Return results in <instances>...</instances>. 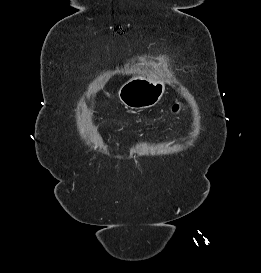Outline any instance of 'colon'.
Segmentation results:
<instances>
[{
    "mask_svg": "<svg viewBox=\"0 0 261 273\" xmlns=\"http://www.w3.org/2000/svg\"><path fill=\"white\" fill-rule=\"evenodd\" d=\"M174 110H177L178 109V106L176 105V106H174V108H173Z\"/></svg>",
    "mask_w": 261,
    "mask_h": 273,
    "instance_id": "5ec220e1",
    "label": "colon"
}]
</instances>
